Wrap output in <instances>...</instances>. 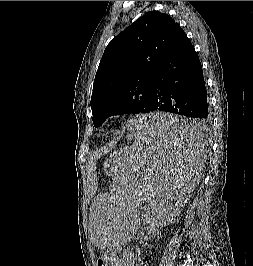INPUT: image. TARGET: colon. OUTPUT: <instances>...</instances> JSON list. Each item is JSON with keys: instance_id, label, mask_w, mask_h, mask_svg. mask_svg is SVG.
<instances>
[{"instance_id": "obj_1", "label": "colon", "mask_w": 253, "mask_h": 266, "mask_svg": "<svg viewBox=\"0 0 253 266\" xmlns=\"http://www.w3.org/2000/svg\"><path fill=\"white\" fill-rule=\"evenodd\" d=\"M98 266H119V259L114 252L105 251L98 258Z\"/></svg>"}]
</instances>
